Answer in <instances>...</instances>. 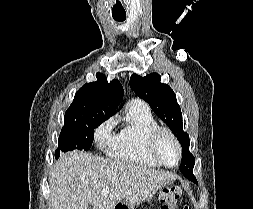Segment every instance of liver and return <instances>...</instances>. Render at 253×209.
Here are the masks:
<instances>
[{
  "label": "liver",
  "mask_w": 253,
  "mask_h": 209,
  "mask_svg": "<svg viewBox=\"0 0 253 209\" xmlns=\"http://www.w3.org/2000/svg\"><path fill=\"white\" fill-rule=\"evenodd\" d=\"M175 179L170 172L75 150L51 168L49 209H113L117 202L134 207Z\"/></svg>",
  "instance_id": "6515ba94"
}]
</instances>
